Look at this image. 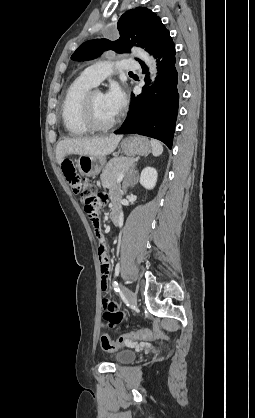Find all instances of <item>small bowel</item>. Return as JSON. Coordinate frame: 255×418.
Segmentation results:
<instances>
[{"instance_id":"obj_1","label":"small bowel","mask_w":255,"mask_h":418,"mask_svg":"<svg viewBox=\"0 0 255 418\" xmlns=\"http://www.w3.org/2000/svg\"><path fill=\"white\" fill-rule=\"evenodd\" d=\"M110 197L114 203V206H117L116 201L119 197V192L117 190H113L110 193ZM97 241V248L95 249V254L98 256L99 263H100V279H101V288L103 291H107L108 289V281L110 276V261L108 255V244L109 239L108 237H103L102 235L96 236ZM102 306H103V319L109 326H114L119 323L123 317V313L119 311L118 305L115 301H113L109 297H104L102 299Z\"/></svg>"}]
</instances>
